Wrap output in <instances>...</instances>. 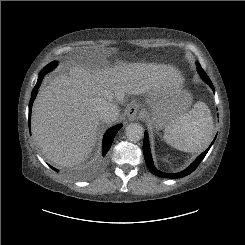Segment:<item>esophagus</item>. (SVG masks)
<instances>
[{
    "instance_id": "1",
    "label": "esophagus",
    "mask_w": 245,
    "mask_h": 245,
    "mask_svg": "<svg viewBox=\"0 0 245 245\" xmlns=\"http://www.w3.org/2000/svg\"><path fill=\"white\" fill-rule=\"evenodd\" d=\"M140 107L138 104L133 103L127 110V117L130 121H134L139 118Z\"/></svg>"
}]
</instances>
